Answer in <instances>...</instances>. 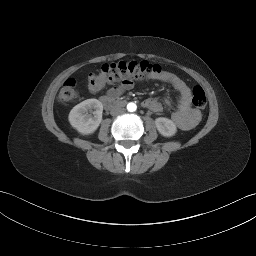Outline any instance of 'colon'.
I'll use <instances>...</instances> for the list:
<instances>
[{"mask_svg":"<svg viewBox=\"0 0 256 256\" xmlns=\"http://www.w3.org/2000/svg\"><path fill=\"white\" fill-rule=\"evenodd\" d=\"M162 74V68L148 61H115L104 64L96 73H90L88 86L92 91L100 90L106 83L123 79L157 78ZM78 97L77 82L68 78L59 93L61 102H72ZM192 104L197 109L207 105L205 91L201 86L192 89Z\"/></svg>","mask_w":256,"mask_h":256,"instance_id":"obj_1","label":"colon"}]
</instances>
